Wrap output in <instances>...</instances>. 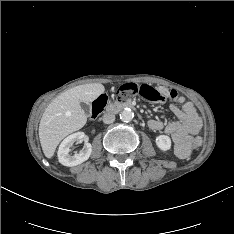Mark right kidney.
Returning a JSON list of instances; mask_svg holds the SVG:
<instances>
[{"label":"right kidney","instance_id":"ca27d5eb","mask_svg":"<svg viewBox=\"0 0 234 234\" xmlns=\"http://www.w3.org/2000/svg\"><path fill=\"white\" fill-rule=\"evenodd\" d=\"M81 141L86 142L83 149L80 150L79 152H76L74 155H71L70 147L75 142H81ZM87 142H88V138L84 134V132H76L66 137L60 144L59 150L57 153L59 162L64 166L72 167V166L79 165L85 162L86 160H88L92 152V146L91 144Z\"/></svg>","mask_w":234,"mask_h":234}]
</instances>
